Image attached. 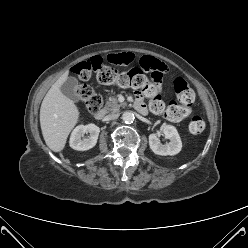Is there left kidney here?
I'll list each match as a JSON object with an SVG mask.
<instances>
[{
  "label": "left kidney",
  "mask_w": 248,
  "mask_h": 248,
  "mask_svg": "<svg viewBox=\"0 0 248 248\" xmlns=\"http://www.w3.org/2000/svg\"><path fill=\"white\" fill-rule=\"evenodd\" d=\"M163 135L170 142L167 144H161L159 136L153 133L149 135V146L151 150L158 155H176L181 151L182 142L181 138L174 126L166 125L163 128Z\"/></svg>",
  "instance_id": "5707ae66"
}]
</instances>
